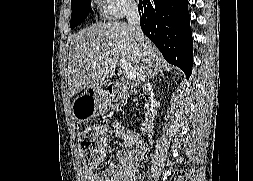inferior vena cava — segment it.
I'll use <instances>...</instances> for the list:
<instances>
[{"mask_svg":"<svg viewBox=\"0 0 253 181\" xmlns=\"http://www.w3.org/2000/svg\"><path fill=\"white\" fill-rule=\"evenodd\" d=\"M126 18H127L128 24L132 27L133 31L135 32L137 41L141 43V46L144 50L146 61H148L149 58L147 56V53L145 52L146 44H145L144 35L140 27V15H139L138 6L136 3L133 2L127 6ZM147 86H148L149 92H152L150 83H148ZM152 104L154 103L152 102Z\"/></svg>","mask_w":253,"mask_h":181,"instance_id":"602c4592","label":"inferior vena cava"}]
</instances>
